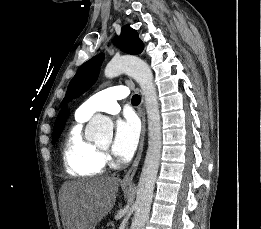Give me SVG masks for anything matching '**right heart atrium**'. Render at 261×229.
I'll return each instance as SVG.
<instances>
[{
    "instance_id": "obj_1",
    "label": "right heart atrium",
    "mask_w": 261,
    "mask_h": 229,
    "mask_svg": "<svg viewBox=\"0 0 261 229\" xmlns=\"http://www.w3.org/2000/svg\"><path fill=\"white\" fill-rule=\"evenodd\" d=\"M103 163L108 166H114L115 161L109 153L103 152Z\"/></svg>"
}]
</instances>
